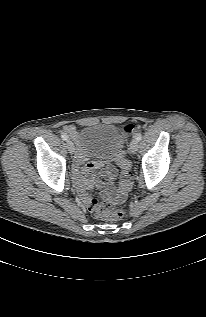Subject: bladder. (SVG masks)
Returning a JSON list of instances; mask_svg holds the SVG:
<instances>
[{"instance_id":"bladder-1","label":"bladder","mask_w":206,"mask_h":317,"mask_svg":"<svg viewBox=\"0 0 206 317\" xmlns=\"http://www.w3.org/2000/svg\"><path fill=\"white\" fill-rule=\"evenodd\" d=\"M81 148L88 153L107 157H118L122 154L125 142L120 131L112 124H93L82 128L78 136Z\"/></svg>"}]
</instances>
